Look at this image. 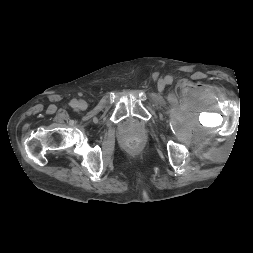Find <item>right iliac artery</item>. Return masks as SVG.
<instances>
[{
    "label": "right iliac artery",
    "mask_w": 253,
    "mask_h": 253,
    "mask_svg": "<svg viewBox=\"0 0 253 253\" xmlns=\"http://www.w3.org/2000/svg\"><path fill=\"white\" fill-rule=\"evenodd\" d=\"M70 106L73 107V108L77 107L78 106V101L76 99H72L70 101Z\"/></svg>",
    "instance_id": "1"
}]
</instances>
